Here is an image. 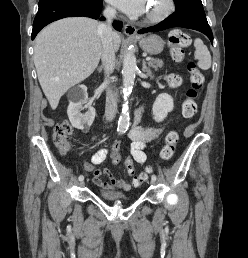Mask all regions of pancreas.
<instances>
[{"mask_svg":"<svg viewBox=\"0 0 248 258\" xmlns=\"http://www.w3.org/2000/svg\"><path fill=\"white\" fill-rule=\"evenodd\" d=\"M149 67L153 68L154 70H157L158 68H161L163 66V61L161 59L152 58L148 62Z\"/></svg>","mask_w":248,"mask_h":258,"instance_id":"cf45deb5","label":"pancreas"}]
</instances>
